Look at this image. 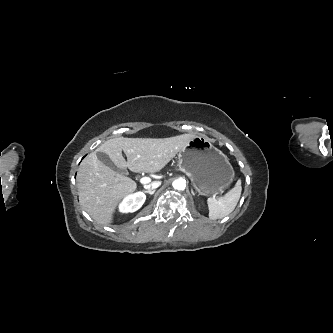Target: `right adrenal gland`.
<instances>
[{"label": "right adrenal gland", "mask_w": 333, "mask_h": 333, "mask_svg": "<svg viewBox=\"0 0 333 333\" xmlns=\"http://www.w3.org/2000/svg\"><path fill=\"white\" fill-rule=\"evenodd\" d=\"M156 190H146L144 191L145 193H148L150 195H153L155 193Z\"/></svg>", "instance_id": "2a0ac1e0"}]
</instances>
